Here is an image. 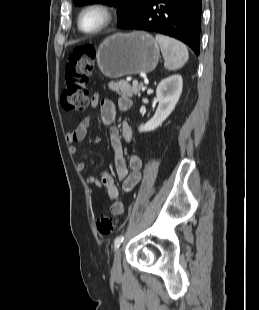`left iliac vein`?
Returning a JSON list of instances; mask_svg holds the SVG:
<instances>
[{
	"mask_svg": "<svg viewBox=\"0 0 259 310\" xmlns=\"http://www.w3.org/2000/svg\"><path fill=\"white\" fill-rule=\"evenodd\" d=\"M112 273L116 275L121 273V249L120 248H118L114 254Z\"/></svg>",
	"mask_w": 259,
	"mask_h": 310,
	"instance_id": "left-iliac-vein-1",
	"label": "left iliac vein"
}]
</instances>
